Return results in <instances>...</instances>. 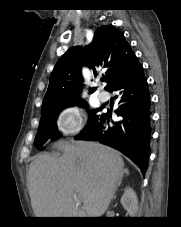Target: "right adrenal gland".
I'll use <instances>...</instances> for the list:
<instances>
[{
  "label": "right adrenal gland",
  "instance_id": "obj_1",
  "mask_svg": "<svg viewBox=\"0 0 181 227\" xmlns=\"http://www.w3.org/2000/svg\"><path fill=\"white\" fill-rule=\"evenodd\" d=\"M124 173H126V175L129 174V171H128L127 168L124 169ZM120 185H121V180L117 183V185H116V190L118 189V187H119Z\"/></svg>",
  "mask_w": 181,
  "mask_h": 227
}]
</instances>
